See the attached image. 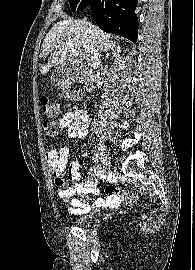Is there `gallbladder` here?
<instances>
[{"mask_svg": "<svg viewBox=\"0 0 195 270\" xmlns=\"http://www.w3.org/2000/svg\"><path fill=\"white\" fill-rule=\"evenodd\" d=\"M72 74H74V70L72 69V63L66 62L60 64L53 71L50 77V82L52 85L57 86L64 79L72 76Z\"/></svg>", "mask_w": 195, "mask_h": 270, "instance_id": "obj_1", "label": "gallbladder"}]
</instances>
